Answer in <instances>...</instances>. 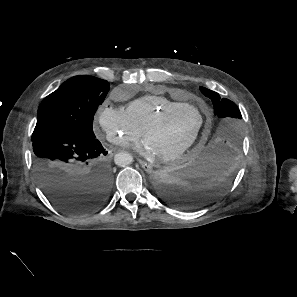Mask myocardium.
<instances>
[{"label": "myocardium", "instance_id": "1", "mask_svg": "<svg viewBox=\"0 0 297 297\" xmlns=\"http://www.w3.org/2000/svg\"><path fill=\"white\" fill-rule=\"evenodd\" d=\"M186 108L194 109L199 114L200 121H199L198 127H197L196 131L194 132V134L192 135V137L187 142H185L180 148H178L177 150H175L173 152L159 156L161 161L167 162V161H173L175 159H178L186 151H188L194 144H196V142L198 141L199 136L201 134L204 123H205V116L199 110L198 107H196L192 104H189V103H184V104H181V105H178L175 107L166 108L165 110L159 112L148 122V124L144 127V129L142 131L143 137L146 139L148 133L152 129L158 127L169 116H171L183 109H186Z\"/></svg>", "mask_w": 297, "mask_h": 297}]
</instances>
